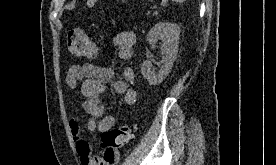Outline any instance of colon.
Segmentation results:
<instances>
[{
  "label": "colon",
  "instance_id": "colon-1",
  "mask_svg": "<svg viewBox=\"0 0 276 165\" xmlns=\"http://www.w3.org/2000/svg\"><path fill=\"white\" fill-rule=\"evenodd\" d=\"M67 44L70 52L77 56L94 57L97 47L92 39L81 29L73 28L68 31ZM133 128L124 124L118 128L102 133L100 146L110 157L119 149L125 147L132 139Z\"/></svg>",
  "mask_w": 276,
  "mask_h": 165
}]
</instances>
